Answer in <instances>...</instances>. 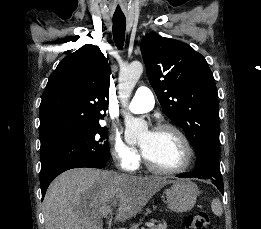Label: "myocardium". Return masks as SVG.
Returning <instances> with one entry per match:
<instances>
[{
	"instance_id": "obj_1",
	"label": "myocardium",
	"mask_w": 261,
	"mask_h": 229,
	"mask_svg": "<svg viewBox=\"0 0 261 229\" xmlns=\"http://www.w3.org/2000/svg\"><path fill=\"white\" fill-rule=\"evenodd\" d=\"M160 131H170L178 137V139L181 142V145L183 147V151H184L183 161L176 168H171V169L160 168V167L153 165L142 152L141 154H142V158H143L145 166L151 172L156 173V174H161V175H176V174H180V173L184 172L189 167V165L192 161V156H193L192 147H191V144H190L188 138L186 137V135L184 134V132L181 129H179L178 127H176L172 124H168V123L159 124L158 126H156L153 129L152 132H160Z\"/></svg>"
}]
</instances>
